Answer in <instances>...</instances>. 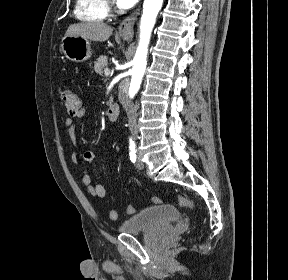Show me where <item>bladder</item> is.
Masks as SVG:
<instances>
[{"label": "bladder", "instance_id": "1", "mask_svg": "<svg viewBox=\"0 0 288 280\" xmlns=\"http://www.w3.org/2000/svg\"><path fill=\"white\" fill-rule=\"evenodd\" d=\"M180 218L181 212L175 206H151L125 220L118 231L124 234L159 231L170 227Z\"/></svg>", "mask_w": 288, "mask_h": 280}]
</instances>
